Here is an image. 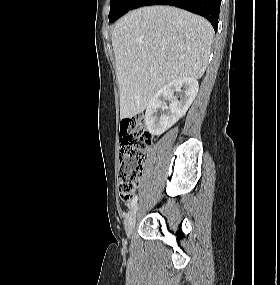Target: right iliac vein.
Returning <instances> with one entry per match:
<instances>
[{"mask_svg":"<svg viewBox=\"0 0 280 285\" xmlns=\"http://www.w3.org/2000/svg\"><path fill=\"white\" fill-rule=\"evenodd\" d=\"M136 214H137V207H133L126 216L125 231L128 237H130L133 232L135 226Z\"/></svg>","mask_w":280,"mask_h":285,"instance_id":"63e3f726","label":"right iliac vein"}]
</instances>
